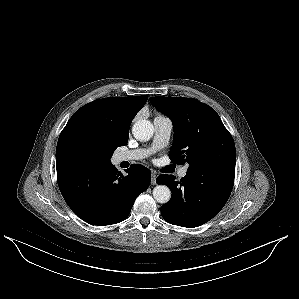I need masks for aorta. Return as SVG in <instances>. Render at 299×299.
I'll return each mask as SVG.
<instances>
[{
	"label": "aorta",
	"instance_id": "obj_1",
	"mask_svg": "<svg viewBox=\"0 0 299 299\" xmlns=\"http://www.w3.org/2000/svg\"><path fill=\"white\" fill-rule=\"evenodd\" d=\"M153 133L154 127L149 120H138L132 127V134L139 141H148ZM153 197L158 203L165 204L171 198V191L165 185H157L153 189Z\"/></svg>",
	"mask_w": 299,
	"mask_h": 299
}]
</instances>
